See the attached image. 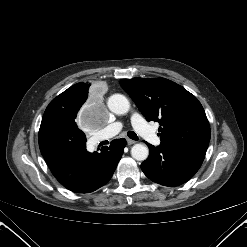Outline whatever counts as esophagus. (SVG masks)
Here are the masks:
<instances>
[{
    "instance_id": "esophagus-1",
    "label": "esophagus",
    "mask_w": 247,
    "mask_h": 247,
    "mask_svg": "<svg viewBox=\"0 0 247 247\" xmlns=\"http://www.w3.org/2000/svg\"><path fill=\"white\" fill-rule=\"evenodd\" d=\"M126 141H127L128 145H132V144H134L136 142V141H134L132 139H129V138H127Z\"/></svg>"
}]
</instances>
